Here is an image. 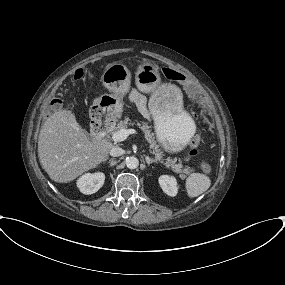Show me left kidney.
Here are the masks:
<instances>
[{
	"label": "left kidney",
	"instance_id": "obj_1",
	"mask_svg": "<svg viewBox=\"0 0 285 285\" xmlns=\"http://www.w3.org/2000/svg\"><path fill=\"white\" fill-rule=\"evenodd\" d=\"M159 184L164 193L174 197L178 192L177 181L174 177L168 175H162L159 178Z\"/></svg>",
	"mask_w": 285,
	"mask_h": 285
}]
</instances>
